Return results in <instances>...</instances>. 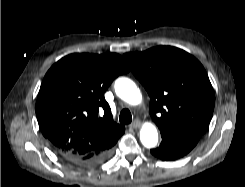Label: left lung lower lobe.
Masks as SVG:
<instances>
[{"mask_svg":"<svg viewBox=\"0 0 245 187\" xmlns=\"http://www.w3.org/2000/svg\"><path fill=\"white\" fill-rule=\"evenodd\" d=\"M159 147L151 153L161 160H176L188 154L198 143L201 134L198 133H163Z\"/></svg>","mask_w":245,"mask_h":187,"instance_id":"0a47b994","label":"left lung lower lobe"}]
</instances>
